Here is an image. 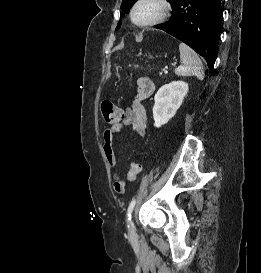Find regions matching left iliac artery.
Listing matches in <instances>:
<instances>
[{
  "label": "left iliac artery",
  "instance_id": "left-iliac-artery-1",
  "mask_svg": "<svg viewBox=\"0 0 261 273\" xmlns=\"http://www.w3.org/2000/svg\"><path fill=\"white\" fill-rule=\"evenodd\" d=\"M136 204V200H132L129 204L128 210H127V221H131V214L134 209V206Z\"/></svg>",
  "mask_w": 261,
  "mask_h": 273
}]
</instances>
